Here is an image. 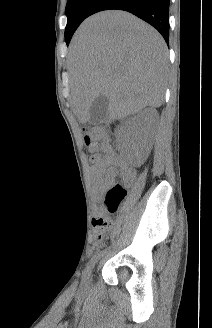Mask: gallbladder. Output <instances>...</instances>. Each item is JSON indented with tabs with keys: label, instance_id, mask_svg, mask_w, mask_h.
I'll return each mask as SVG.
<instances>
[{
	"label": "gallbladder",
	"instance_id": "1",
	"mask_svg": "<svg viewBox=\"0 0 212 328\" xmlns=\"http://www.w3.org/2000/svg\"><path fill=\"white\" fill-rule=\"evenodd\" d=\"M108 98L104 95L98 96L90 107V120L89 123L97 125L102 123L108 115Z\"/></svg>",
	"mask_w": 212,
	"mask_h": 328
}]
</instances>
